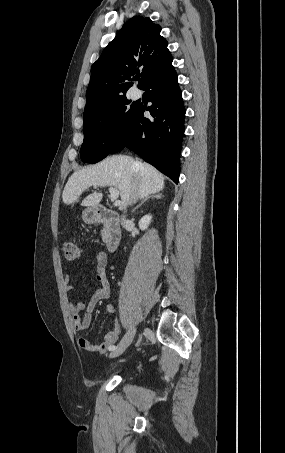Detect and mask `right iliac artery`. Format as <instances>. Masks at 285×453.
<instances>
[{
	"instance_id": "right-iliac-artery-1",
	"label": "right iliac artery",
	"mask_w": 285,
	"mask_h": 453,
	"mask_svg": "<svg viewBox=\"0 0 285 453\" xmlns=\"http://www.w3.org/2000/svg\"><path fill=\"white\" fill-rule=\"evenodd\" d=\"M115 349H116L115 346H112V347L109 348V350H111V351H112V350H115Z\"/></svg>"
}]
</instances>
